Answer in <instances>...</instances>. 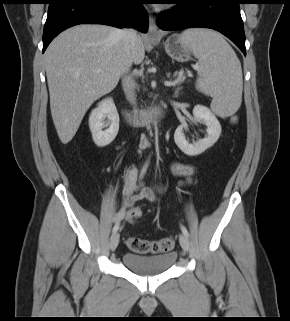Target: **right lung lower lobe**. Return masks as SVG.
I'll use <instances>...</instances> for the list:
<instances>
[{
    "label": "right lung lower lobe",
    "instance_id": "right-lung-lower-lobe-1",
    "mask_svg": "<svg viewBox=\"0 0 290 321\" xmlns=\"http://www.w3.org/2000/svg\"><path fill=\"white\" fill-rule=\"evenodd\" d=\"M144 0H50L43 33V52L63 30L82 23L148 30Z\"/></svg>",
    "mask_w": 290,
    "mask_h": 321
}]
</instances>
